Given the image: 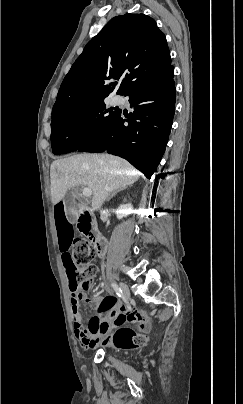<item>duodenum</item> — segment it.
I'll use <instances>...</instances> for the list:
<instances>
[{
	"label": "duodenum",
	"mask_w": 243,
	"mask_h": 404,
	"mask_svg": "<svg viewBox=\"0 0 243 404\" xmlns=\"http://www.w3.org/2000/svg\"><path fill=\"white\" fill-rule=\"evenodd\" d=\"M78 229L81 234L93 242L98 257H105L107 248L106 239L97 230L96 224L90 213L84 208H82L80 212Z\"/></svg>",
	"instance_id": "410a0bca"
}]
</instances>
